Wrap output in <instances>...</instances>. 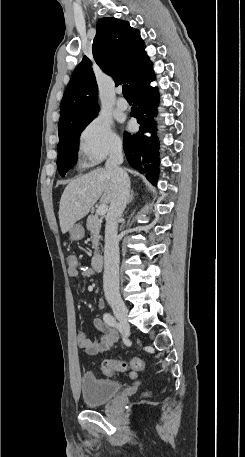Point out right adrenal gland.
<instances>
[{
	"label": "right adrenal gland",
	"mask_w": 245,
	"mask_h": 457,
	"mask_svg": "<svg viewBox=\"0 0 245 457\" xmlns=\"http://www.w3.org/2000/svg\"><path fill=\"white\" fill-rule=\"evenodd\" d=\"M133 198H134V192H133V190H131V194L129 196L128 202H132Z\"/></svg>",
	"instance_id": "1"
}]
</instances>
